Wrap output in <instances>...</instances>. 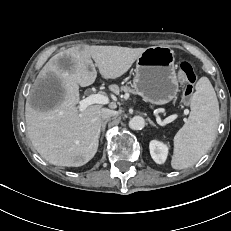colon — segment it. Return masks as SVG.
Returning <instances> with one entry per match:
<instances>
[{"label": "colon", "instance_id": "1", "mask_svg": "<svg viewBox=\"0 0 231 231\" xmlns=\"http://www.w3.org/2000/svg\"><path fill=\"white\" fill-rule=\"evenodd\" d=\"M179 77L182 81L186 82L182 96L183 100L188 102L193 93V84L197 79V74L190 63L183 61L180 63Z\"/></svg>", "mask_w": 231, "mask_h": 231}]
</instances>
